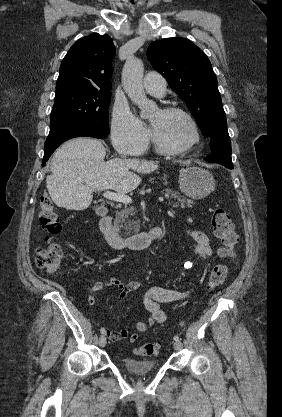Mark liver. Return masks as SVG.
Wrapping results in <instances>:
<instances>
[{"instance_id":"6515ba94","label":"liver","mask_w":282,"mask_h":417,"mask_svg":"<svg viewBox=\"0 0 282 417\" xmlns=\"http://www.w3.org/2000/svg\"><path fill=\"white\" fill-rule=\"evenodd\" d=\"M106 148L90 136L71 138L59 146L50 162L52 174L46 176L47 190L62 209L84 211L92 202L93 190L112 188L116 192H131L141 182L131 172H152L158 168L152 160L111 158L104 162Z\"/></svg>"}]
</instances>
